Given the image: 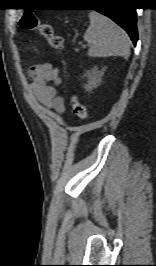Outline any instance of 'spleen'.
Here are the masks:
<instances>
[{
  "mask_svg": "<svg viewBox=\"0 0 156 266\" xmlns=\"http://www.w3.org/2000/svg\"><path fill=\"white\" fill-rule=\"evenodd\" d=\"M90 25L84 34L89 43L88 56H119L127 59L130 55V40L127 33L108 17L92 11L89 13Z\"/></svg>",
  "mask_w": 156,
  "mask_h": 266,
  "instance_id": "spleen-1",
  "label": "spleen"
}]
</instances>
